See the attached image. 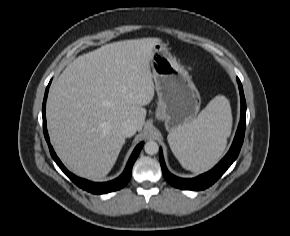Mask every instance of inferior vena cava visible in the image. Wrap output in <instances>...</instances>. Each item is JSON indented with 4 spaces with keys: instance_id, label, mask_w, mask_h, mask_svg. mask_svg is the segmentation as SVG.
Segmentation results:
<instances>
[{
    "instance_id": "602c4592",
    "label": "inferior vena cava",
    "mask_w": 290,
    "mask_h": 236,
    "mask_svg": "<svg viewBox=\"0 0 290 236\" xmlns=\"http://www.w3.org/2000/svg\"><path fill=\"white\" fill-rule=\"evenodd\" d=\"M121 131L125 137H131L136 133L137 129L133 122L128 121L123 123Z\"/></svg>"
}]
</instances>
